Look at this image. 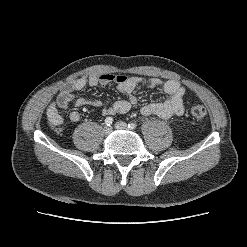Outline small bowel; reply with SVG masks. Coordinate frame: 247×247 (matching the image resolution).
Listing matches in <instances>:
<instances>
[{"label":"small bowel","mask_w":247,"mask_h":247,"mask_svg":"<svg viewBox=\"0 0 247 247\" xmlns=\"http://www.w3.org/2000/svg\"><path fill=\"white\" fill-rule=\"evenodd\" d=\"M110 83H115L118 90L126 98L119 99L111 106L104 107L102 109V114L105 116L124 114L128 112L137 102V99L133 93L140 86L149 89H161L166 95V99L163 102H152L144 105L141 108V113L143 115H155L160 118L167 119L172 116H180L185 111L183 96L186 89L177 81H162L157 78L133 77L123 74L104 73L101 75H94L89 78H78L68 83L47 108V118L50 125L57 128L63 124L64 118L60 114V110L66 109L73 100H75V105L77 107H101L102 102L100 100L84 97L75 99V94L87 85L91 87H102ZM69 119L71 122H78L80 120V114L77 111H72L69 114Z\"/></svg>","instance_id":"small-bowel-1"}]
</instances>
